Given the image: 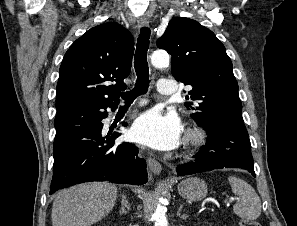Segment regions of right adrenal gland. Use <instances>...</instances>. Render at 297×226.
Returning a JSON list of instances; mask_svg holds the SVG:
<instances>
[{
	"mask_svg": "<svg viewBox=\"0 0 297 226\" xmlns=\"http://www.w3.org/2000/svg\"><path fill=\"white\" fill-rule=\"evenodd\" d=\"M121 196V209L119 211L120 214H127L130 211V204L127 200V197L125 195H120Z\"/></svg>",
	"mask_w": 297,
	"mask_h": 226,
	"instance_id": "1",
	"label": "right adrenal gland"
}]
</instances>
